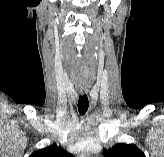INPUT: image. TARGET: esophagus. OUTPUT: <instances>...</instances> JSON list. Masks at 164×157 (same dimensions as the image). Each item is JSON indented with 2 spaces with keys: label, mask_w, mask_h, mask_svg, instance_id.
<instances>
[{
  "label": "esophagus",
  "mask_w": 164,
  "mask_h": 157,
  "mask_svg": "<svg viewBox=\"0 0 164 157\" xmlns=\"http://www.w3.org/2000/svg\"><path fill=\"white\" fill-rule=\"evenodd\" d=\"M88 91L87 90H85V89H83V90H80V93L83 95V94H85V93H87Z\"/></svg>",
  "instance_id": "obj_1"
}]
</instances>
